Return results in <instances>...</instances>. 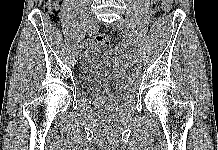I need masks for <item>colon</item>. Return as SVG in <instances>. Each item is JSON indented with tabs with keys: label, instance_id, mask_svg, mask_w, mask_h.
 <instances>
[{
	"label": "colon",
	"instance_id": "1",
	"mask_svg": "<svg viewBox=\"0 0 218 150\" xmlns=\"http://www.w3.org/2000/svg\"><path fill=\"white\" fill-rule=\"evenodd\" d=\"M62 7V0H45L44 1V10L48 18L56 22L59 20L60 12ZM151 14L154 18H162L166 11L167 7L164 3V0H152L150 4ZM96 44L104 49H109L111 47V38L106 34H99L96 36Z\"/></svg>",
	"mask_w": 218,
	"mask_h": 150
}]
</instances>
